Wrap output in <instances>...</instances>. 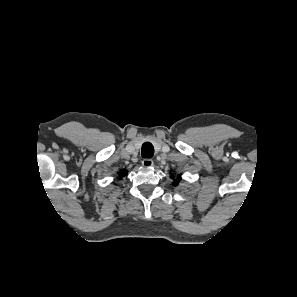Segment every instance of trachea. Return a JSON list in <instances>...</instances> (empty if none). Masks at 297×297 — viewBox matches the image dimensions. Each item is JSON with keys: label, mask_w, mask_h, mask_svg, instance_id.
I'll list each match as a JSON object with an SVG mask.
<instances>
[{"label": "trachea", "mask_w": 297, "mask_h": 297, "mask_svg": "<svg viewBox=\"0 0 297 297\" xmlns=\"http://www.w3.org/2000/svg\"><path fill=\"white\" fill-rule=\"evenodd\" d=\"M154 155V147L151 143L146 142L142 145V157L151 158Z\"/></svg>", "instance_id": "1"}]
</instances>
